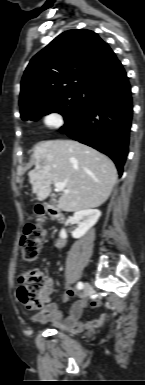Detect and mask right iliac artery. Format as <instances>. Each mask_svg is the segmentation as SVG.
Wrapping results in <instances>:
<instances>
[{
  "label": "right iliac artery",
  "mask_w": 145,
  "mask_h": 385,
  "mask_svg": "<svg viewBox=\"0 0 145 385\" xmlns=\"http://www.w3.org/2000/svg\"><path fill=\"white\" fill-rule=\"evenodd\" d=\"M83 286H84V285H83L82 282H78V284H77V288H78V289H80V290L83 289Z\"/></svg>",
  "instance_id": "1"
}]
</instances>
